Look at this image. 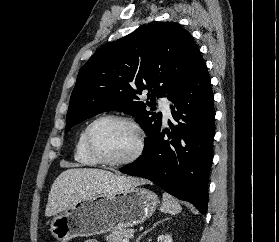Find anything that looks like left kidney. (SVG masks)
Listing matches in <instances>:
<instances>
[{
	"instance_id": "obj_1",
	"label": "left kidney",
	"mask_w": 279,
	"mask_h": 242,
	"mask_svg": "<svg viewBox=\"0 0 279 242\" xmlns=\"http://www.w3.org/2000/svg\"><path fill=\"white\" fill-rule=\"evenodd\" d=\"M157 239L158 242H172V238L170 235H159Z\"/></svg>"
}]
</instances>
